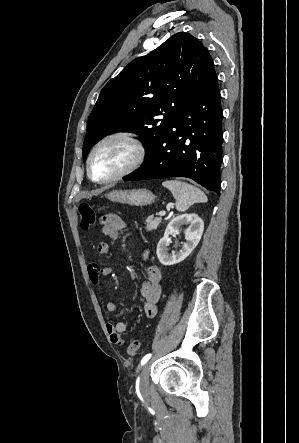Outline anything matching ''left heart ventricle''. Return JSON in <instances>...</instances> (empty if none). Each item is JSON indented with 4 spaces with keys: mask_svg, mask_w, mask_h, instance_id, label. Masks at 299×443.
Returning a JSON list of instances; mask_svg holds the SVG:
<instances>
[{
    "mask_svg": "<svg viewBox=\"0 0 299 443\" xmlns=\"http://www.w3.org/2000/svg\"><path fill=\"white\" fill-rule=\"evenodd\" d=\"M132 150L128 144L114 140L103 145L92 162V175L102 179L122 169L131 159Z\"/></svg>",
    "mask_w": 299,
    "mask_h": 443,
    "instance_id": "left-heart-ventricle-1",
    "label": "left heart ventricle"
}]
</instances>
